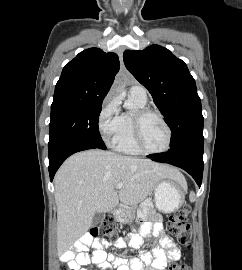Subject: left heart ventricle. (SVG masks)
Listing matches in <instances>:
<instances>
[{"mask_svg":"<svg viewBox=\"0 0 242 270\" xmlns=\"http://www.w3.org/2000/svg\"><path fill=\"white\" fill-rule=\"evenodd\" d=\"M143 142L150 150H161L167 142V132L162 122L155 116L147 118L143 126Z\"/></svg>","mask_w":242,"mask_h":270,"instance_id":"1","label":"left heart ventricle"}]
</instances>
